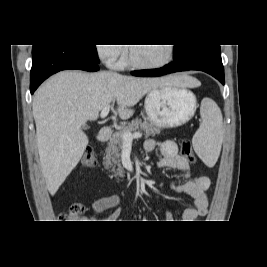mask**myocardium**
Returning <instances> with one entry per match:
<instances>
[{
    "instance_id": "f54148a6",
    "label": "myocardium",
    "mask_w": 267,
    "mask_h": 267,
    "mask_svg": "<svg viewBox=\"0 0 267 267\" xmlns=\"http://www.w3.org/2000/svg\"><path fill=\"white\" fill-rule=\"evenodd\" d=\"M167 47H168V56L164 61L156 64H145V63H139L134 59L132 53V47L129 46L127 49L126 61L130 66L137 69L153 70L165 67L173 60L174 56V47L172 46V44H167Z\"/></svg>"
}]
</instances>
